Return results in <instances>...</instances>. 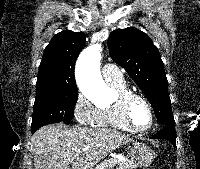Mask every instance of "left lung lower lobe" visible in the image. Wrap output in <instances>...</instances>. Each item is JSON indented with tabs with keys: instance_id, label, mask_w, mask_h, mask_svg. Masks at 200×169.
Instances as JSON below:
<instances>
[{
	"instance_id": "obj_1",
	"label": "left lung lower lobe",
	"mask_w": 200,
	"mask_h": 169,
	"mask_svg": "<svg viewBox=\"0 0 200 169\" xmlns=\"http://www.w3.org/2000/svg\"><path fill=\"white\" fill-rule=\"evenodd\" d=\"M174 127L175 126H163V129L151 138L168 140L176 147V134Z\"/></svg>"
}]
</instances>
